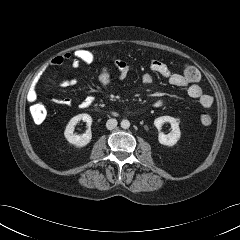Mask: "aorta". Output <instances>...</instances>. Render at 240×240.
<instances>
[{"label": "aorta", "mask_w": 240, "mask_h": 240, "mask_svg": "<svg viewBox=\"0 0 240 240\" xmlns=\"http://www.w3.org/2000/svg\"><path fill=\"white\" fill-rule=\"evenodd\" d=\"M120 124L123 129H128L130 127V122L126 119L122 120Z\"/></svg>", "instance_id": "obj_1"}]
</instances>
